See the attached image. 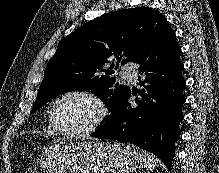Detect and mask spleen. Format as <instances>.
Returning a JSON list of instances; mask_svg holds the SVG:
<instances>
[{
	"mask_svg": "<svg viewBox=\"0 0 219 173\" xmlns=\"http://www.w3.org/2000/svg\"><path fill=\"white\" fill-rule=\"evenodd\" d=\"M139 160L143 168L151 171L155 168V166H157L159 162L156 156L146 152L139 153Z\"/></svg>",
	"mask_w": 219,
	"mask_h": 173,
	"instance_id": "1",
	"label": "spleen"
}]
</instances>
